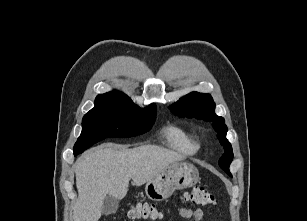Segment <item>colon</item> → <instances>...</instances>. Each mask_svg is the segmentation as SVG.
<instances>
[{
    "mask_svg": "<svg viewBox=\"0 0 307 221\" xmlns=\"http://www.w3.org/2000/svg\"><path fill=\"white\" fill-rule=\"evenodd\" d=\"M184 200L190 201L202 206H214L217 203L216 197L205 187L196 186L191 191L186 192ZM131 220L160 218V212L156 206L150 202L136 203L128 213Z\"/></svg>",
    "mask_w": 307,
    "mask_h": 221,
    "instance_id": "5ec220e1",
    "label": "colon"
}]
</instances>
